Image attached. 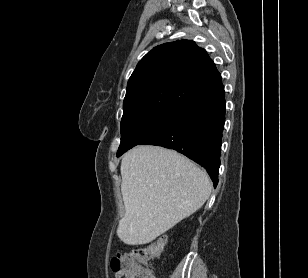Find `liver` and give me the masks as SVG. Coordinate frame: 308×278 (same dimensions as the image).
<instances>
[{
	"mask_svg": "<svg viewBox=\"0 0 308 278\" xmlns=\"http://www.w3.org/2000/svg\"><path fill=\"white\" fill-rule=\"evenodd\" d=\"M125 215L117 235L128 245H141L200 209L212 185L207 173L170 149L138 145L121 161Z\"/></svg>",
	"mask_w": 308,
	"mask_h": 278,
	"instance_id": "1",
	"label": "liver"
}]
</instances>
